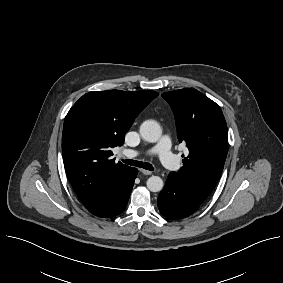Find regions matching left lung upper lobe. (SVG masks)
I'll return each mask as SVG.
<instances>
[{"instance_id":"left-lung-upper-lobe-1","label":"left lung upper lobe","mask_w":283,"mask_h":283,"mask_svg":"<svg viewBox=\"0 0 283 283\" xmlns=\"http://www.w3.org/2000/svg\"><path fill=\"white\" fill-rule=\"evenodd\" d=\"M170 104L179 142L189 155L179 172H171L186 191L202 203L216 186L228 152L227 124L214 101L194 88L165 92Z\"/></svg>"}]
</instances>
